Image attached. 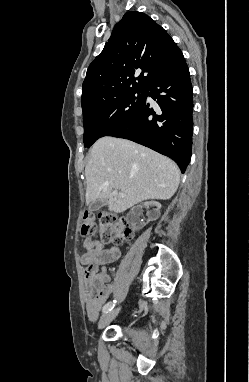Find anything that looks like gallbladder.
<instances>
[{
    "instance_id": "obj_1",
    "label": "gallbladder",
    "mask_w": 249,
    "mask_h": 382,
    "mask_svg": "<svg viewBox=\"0 0 249 382\" xmlns=\"http://www.w3.org/2000/svg\"><path fill=\"white\" fill-rule=\"evenodd\" d=\"M107 205V200L105 199H97L89 204L90 211H98L102 207Z\"/></svg>"
}]
</instances>
